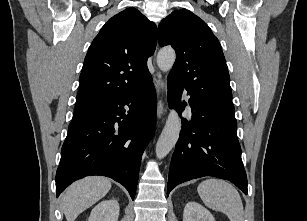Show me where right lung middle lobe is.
Returning <instances> with one entry per match:
<instances>
[{"label":"right lung middle lobe","instance_id":"obj_1","mask_svg":"<svg viewBox=\"0 0 307 221\" xmlns=\"http://www.w3.org/2000/svg\"><path fill=\"white\" fill-rule=\"evenodd\" d=\"M98 107L99 106H93V105L75 107L73 120L79 119V118L95 111Z\"/></svg>","mask_w":307,"mask_h":221}]
</instances>
